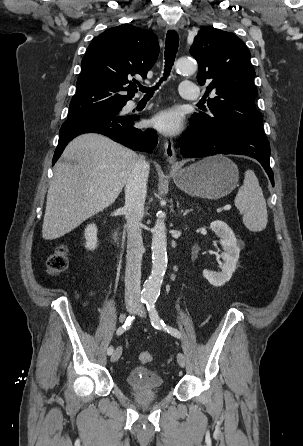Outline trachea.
<instances>
[{
    "instance_id": "obj_1",
    "label": "trachea",
    "mask_w": 303,
    "mask_h": 446,
    "mask_svg": "<svg viewBox=\"0 0 303 446\" xmlns=\"http://www.w3.org/2000/svg\"><path fill=\"white\" fill-rule=\"evenodd\" d=\"M178 45H179V37L177 32L175 30H169L167 32L165 41V69L163 74L164 77H162L159 83H157V85L152 88L139 85V90L146 93L145 97L153 96L154 91L158 89L160 83L163 80H166L167 77L169 76L176 57V53L178 51Z\"/></svg>"
}]
</instances>
